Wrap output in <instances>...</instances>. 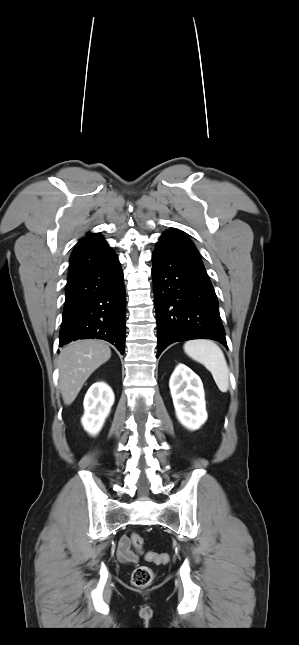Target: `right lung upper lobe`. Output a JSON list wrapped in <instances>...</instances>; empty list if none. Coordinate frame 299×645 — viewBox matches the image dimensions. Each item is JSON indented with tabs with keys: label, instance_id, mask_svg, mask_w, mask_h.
I'll list each match as a JSON object with an SVG mask.
<instances>
[{
	"label": "right lung upper lobe",
	"instance_id": "1",
	"mask_svg": "<svg viewBox=\"0 0 299 645\" xmlns=\"http://www.w3.org/2000/svg\"><path fill=\"white\" fill-rule=\"evenodd\" d=\"M114 254L100 233H88L78 241L72 252L68 277L87 266L105 261Z\"/></svg>",
	"mask_w": 299,
	"mask_h": 645
}]
</instances>
